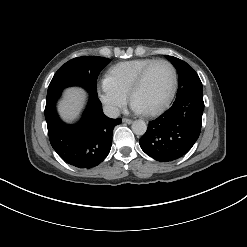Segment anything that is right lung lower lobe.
Instances as JSON below:
<instances>
[{"mask_svg": "<svg viewBox=\"0 0 247 247\" xmlns=\"http://www.w3.org/2000/svg\"><path fill=\"white\" fill-rule=\"evenodd\" d=\"M60 95L61 92L46 99L45 119L53 149L75 167L89 169L97 166L109 154L113 128L121 123V118L105 116L97 95L90 94L81 120L67 125L58 118L55 110Z\"/></svg>", "mask_w": 247, "mask_h": 247, "instance_id": "right-lung-lower-lobe-1", "label": "right lung lower lobe"}]
</instances>
